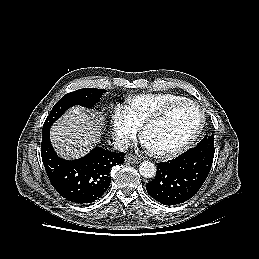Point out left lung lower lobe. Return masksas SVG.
Returning <instances> with one entry per match:
<instances>
[{
	"label": "left lung lower lobe",
	"instance_id": "0a47b994",
	"mask_svg": "<svg viewBox=\"0 0 259 259\" xmlns=\"http://www.w3.org/2000/svg\"><path fill=\"white\" fill-rule=\"evenodd\" d=\"M214 152L192 148L174 160L158 163L155 179L147 184L149 195L164 205L189 200L205 182Z\"/></svg>",
	"mask_w": 259,
	"mask_h": 259
}]
</instances>
